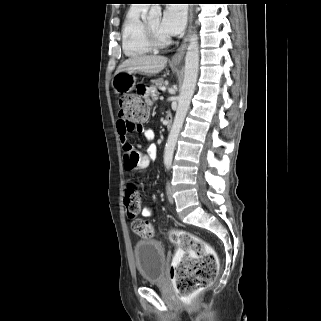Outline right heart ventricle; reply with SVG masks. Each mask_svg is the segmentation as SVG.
Masks as SVG:
<instances>
[{"label":"right heart ventricle","mask_w":321,"mask_h":321,"mask_svg":"<svg viewBox=\"0 0 321 321\" xmlns=\"http://www.w3.org/2000/svg\"><path fill=\"white\" fill-rule=\"evenodd\" d=\"M147 6L132 5L124 18L121 29L122 49L126 56L131 58L146 55L152 51L144 36V21L142 14Z\"/></svg>","instance_id":"1"}]
</instances>
